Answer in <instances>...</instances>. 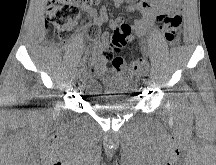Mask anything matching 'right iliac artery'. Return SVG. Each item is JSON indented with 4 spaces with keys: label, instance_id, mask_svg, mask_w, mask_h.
<instances>
[{
    "label": "right iliac artery",
    "instance_id": "obj_1",
    "mask_svg": "<svg viewBox=\"0 0 216 165\" xmlns=\"http://www.w3.org/2000/svg\"><path fill=\"white\" fill-rule=\"evenodd\" d=\"M82 69H83V64H81V63L78 64V69L77 70L80 72Z\"/></svg>",
    "mask_w": 216,
    "mask_h": 165
}]
</instances>
